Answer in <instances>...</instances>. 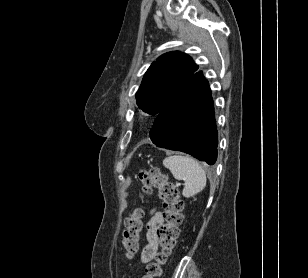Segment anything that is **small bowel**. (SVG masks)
<instances>
[{
	"instance_id": "c3829d8e",
	"label": "small bowel",
	"mask_w": 308,
	"mask_h": 278,
	"mask_svg": "<svg viewBox=\"0 0 308 278\" xmlns=\"http://www.w3.org/2000/svg\"><path fill=\"white\" fill-rule=\"evenodd\" d=\"M163 223V215L161 212L153 210L147 222L146 239L147 244L141 253V262L148 263L151 261L158 250V238L156 234L157 227Z\"/></svg>"
}]
</instances>
